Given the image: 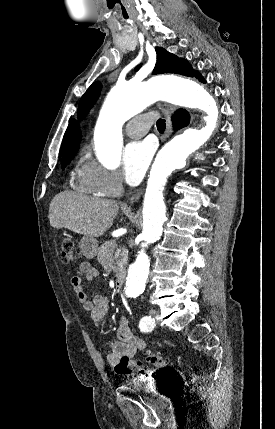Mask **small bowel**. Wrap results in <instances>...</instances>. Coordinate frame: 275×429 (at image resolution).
I'll list each match as a JSON object with an SVG mask.
<instances>
[{"label": "small bowel", "mask_w": 275, "mask_h": 429, "mask_svg": "<svg viewBox=\"0 0 275 429\" xmlns=\"http://www.w3.org/2000/svg\"><path fill=\"white\" fill-rule=\"evenodd\" d=\"M83 276L88 280H92L98 276V272L88 262H83L80 264L77 273L71 277V284L78 303L89 314L91 321L95 325H100L108 313L109 300L103 295H96L90 300L82 285ZM116 335L117 340L109 345L108 363L115 367L117 371L123 362L127 364L128 368L140 366L141 363L135 356L137 353L145 351L147 344L143 339L133 334L126 317L120 319Z\"/></svg>", "instance_id": "obj_1"}]
</instances>
